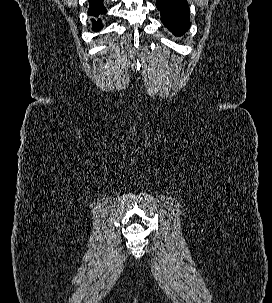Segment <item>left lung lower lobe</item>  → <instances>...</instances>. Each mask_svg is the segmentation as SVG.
I'll return each mask as SVG.
<instances>
[{"label":"left lung lower lobe","mask_w":272,"mask_h":303,"mask_svg":"<svg viewBox=\"0 0 272 303\" xmlns=\"http://www.w3.org/2000/svg\"><path fill=\"white\" fill-rule=\"evenodd\" d=\"M161 21L174 35L181 36L190 27V10L187 0H157Z\"/></svg>","instance_id":"0a47b994"}]
</instances>
